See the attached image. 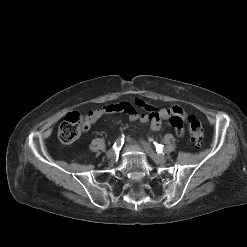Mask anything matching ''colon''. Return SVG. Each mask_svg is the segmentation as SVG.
I'll return each mask as SVG.
<instances>
[{"mask_svg":"<svg viewBox=\"0 0 247 247\" xmlns=\"http://www.w3.org/2000/svg\"><path fill=\"white\" fill-rule=\"evenodd\" d=\"M188 123L190 140L194 146L199 147L204 137L202 124L194 116L188 118ZM84 129L85 118L76 111L68 113L59 126V140L64 144H72L79 138Z\"/></svg>","mask_w":247,"mask_h":247,"instance_id":"5ec220e1","label":"colon"}]
</instances>
